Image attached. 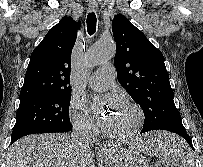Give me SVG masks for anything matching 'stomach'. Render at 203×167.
<instances>
[{"mask_svg": "<svg viewBox=\"0 0 203 167\" xmlns=\"http://www.w3.org/2000/svg\"><path fill=\"white\" fill-rule=\"evenodd\" d=\"M144 141L140 140L141 143ZM143 150L142 145L138 148L119 149L113 155L112 167H151L149 161L140 154Z\"/></svg>", "mask_w": 203, "mask_h": 167, "instance_id": "1", "label": "stomach"}]
</instances>
